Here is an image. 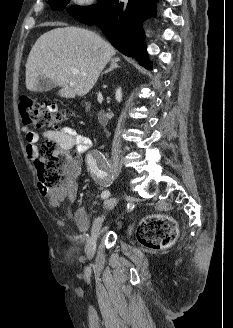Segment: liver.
Returning <instances> with one entry per match:
<instances>
[{"instance_id":"6515ba94","label":"liver","mask_w":233,"mask_h":328,"mask_svg":"<svg viewBox=\"0 0 233 328\" xmlns=\"http://www.w3.org/2000/svg\"><path fill=\"white\" fill-rule=\"evenodd\" d=\"M115 49L87 29L64 27L41 35L33 45L26 63V88L37 89L38 78L50 79L61 87L58 95L74 98L87 94ZM71 68L79 73L74 74Z\"/></svg>"}]
</instances>
